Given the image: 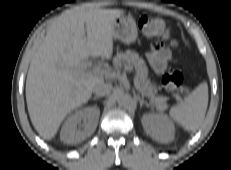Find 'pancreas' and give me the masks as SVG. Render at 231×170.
I'll use <instances>...</instances> for the list:
<instances>
[{
	"mask_svg": "<svg viewBox=\"0 0 231 170\" xmlns=\"http://www.w3.org/2000/svg\"><path fill=\"white\" fill-rule=\"evenodd\" d=\"M113 65L116 70H120L126 66L134 67L141 90L147 94L151 102L157 108H165L166 98L155 96L156 89L148 78V68L145 61L139 57L138 53L131 50L117 52L116 56L113 58Z\"/></svg>",
	"mask_w": 231,
	"mask_h": 170,
	"instance_id": "1",
	"label": "pancreas"
}]
</instances>
